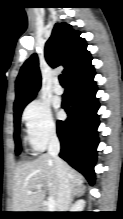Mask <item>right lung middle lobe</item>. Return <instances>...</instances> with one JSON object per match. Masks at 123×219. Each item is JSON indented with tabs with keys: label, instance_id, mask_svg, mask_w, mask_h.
Returning a JSON list of instances; mask_svg holds the SVG:
<instances>
[{
	"label": "right lung middle lobe",
	"instance_id": "obj_1",
	"mask_svg": "<svg viewBox=\"0 0 123 219\" xmlns=\"http://www.w3.org/2000/svg\"><path fill=\"white\" fill-rule=\"evenodd\" d=\"M25 106L26 104L20 107L14 113V140H15L16 154H19L21 152V144H20V138H19V125H20L21 114Z\"/></svg>",
	"mask_w": 123,
	"mask_h": 219
}]
</instances>
